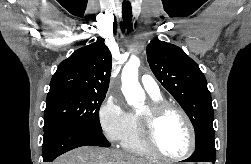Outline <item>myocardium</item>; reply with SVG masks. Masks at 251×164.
<instances>
[{
  "mask_svg": "<svg viewBox=\"0 0 251 164\" xmlns=\"http://www.w3.org/2000/svg\"><path fill=\"white\" fill-rule=\"evenodd\" d=\"M169 111H175L181 115L188 127L190 134V145L188 150L183 155L177 157L165 154L160 149L156 139L158 123L161 118ZM139 119L144 144L154 156L162 160L178 162L189 158L194 153L197 142L196 131L189 115L180 106L169 102H154L149 106L146 113L139 116Z\"/></svg>",
  "mask_w": 251,
  "mask_h": 164,
  "instance_id": "1",
  "label": "myocardium"
}]
</instances>
